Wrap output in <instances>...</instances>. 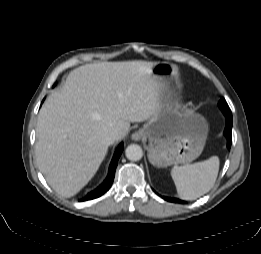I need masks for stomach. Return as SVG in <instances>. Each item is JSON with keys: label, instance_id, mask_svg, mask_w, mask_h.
Segmentation results:
<instances>
[{"label": "stomach", "instance_id": "0dacf381", "mask_svg": "<svg viewBox=\"0 0 261 254\" xmlns=\"http://www.w3.org/2000/svg\"><path fill=\"white\" fill-rule=\"evenodd\" d=\"M152 72L160 83L157 110L140 130L143 138L148 140L149 161L157 167L190 163L203 151L207 122L200 114L176 102L179 84L175 65L157 62Z\"/></svg>", "mask_w": 261, "mask_h": 254}]
</instances>
